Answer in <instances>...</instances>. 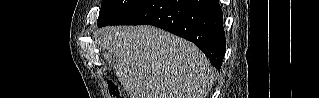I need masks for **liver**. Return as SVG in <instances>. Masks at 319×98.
<instances>
[{
    "label": "liver",
    "mask_w": 319,
    "mask_h": 98,
    "mask_svg": "<svg viewBox=\"0 0 319 98\" xmlns=\"http://www.w3.org/2000/svg\"><path fill=\"white\" fill-rule=\"evenodd\" d=\"M104 57L130 98H206L213 67L192 43L153 26L101 30Z\"/></svg>",
    "instance_id": "1"
}]
</instances>
